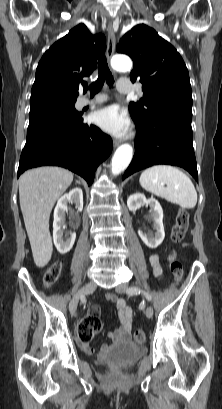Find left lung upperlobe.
I'll list each match as a JSON object with an SVG mask.
<instances>
[{
  "instance_id": "left-lung-upper-lobe-1",
  "label": "left lung upper lobe",
  "mask_w": 222,
  "mask_h": 409,
  "mask_svg": "<svg viewBox=\"0 0 222 409\" xmlns=\"http://www.w3.org/2000/svg\"><path fill=\"white\" fill-rule=\"evenodd\" d=\"M117 51L132 57V82L143 84V98L131 102L133 120L151 121L169 115L192 120V93L187 67L177 50L158 33L139 24L127 32Z\"/></svg>"
}]
</instances>
